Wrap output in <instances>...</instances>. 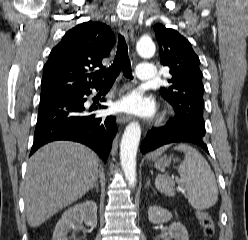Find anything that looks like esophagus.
<instances>
[{
  "label": "esophagus",
  "instance_id": "34e87169",
  "mask_svg": "<svg viewBox=\"0 0 248 240\" xmlns=\"http://www.w3.org/2000/svg\"><path fill=\"white\" fill-rule=\"evenodd\" d=\"M123 34L127 38V40L132 43L133 37H134V29L130 22H126L123 26ZM117 122L119 124H125L130 121V117L127 115H118L117 116Z\"/></svg>",
  "mask_w": 248,
  "mask_h": 240
}]
</instances>
